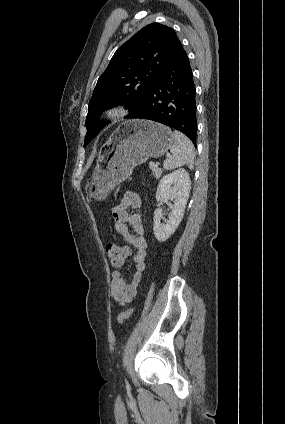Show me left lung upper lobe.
Wrapping results in <instances>:
<instances>
[{
    "instance_id": "obj_1",
    "label": "left lung upper lobe",
    "mask_w": 285,
    "mask_h": 424,
    "mask_svg": "<svg viewBox=\"0 0 285 424\" xmlns=\"http://www.w3.org/2000/svg\"><path fill=\"white\" fill-rule=\"evenodd\" d=\"M179 42L172 28L152 23L115 52L89 102L84 147L106 125L107 122L98 120L104 110L121 102L130 109L143 100Z\"/></svg>"
}]
</instances>
